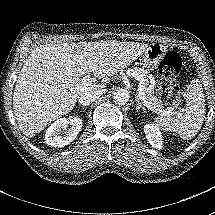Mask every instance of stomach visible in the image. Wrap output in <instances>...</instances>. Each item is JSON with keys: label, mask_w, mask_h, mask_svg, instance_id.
Instances as JSON below:
<instances>
[{"label": "stomach", "mask_w": 215, "mask_h": 215, "mask_svg": "<svg viewBox=\"0 0 215 215\" xmlns=\"http://www.w3.org/2000/svg\"><path fill=\"white\" fill-rule=\"evenodd\" d=\"M167 53L168 49L166 46L156 43L150 44L141 55L142 64L149 69H156Z\"/></svg>", "instance_id": "obj_1"}]
</instances>
